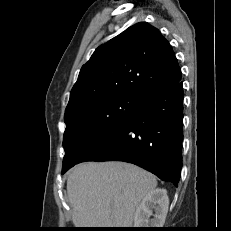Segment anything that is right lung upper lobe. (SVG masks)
Listing matches in <instances>:
<instances>
[{
    "instance_id": "obj_1",
    "label": "right lung upper lobe",
    "mask_w": 231,
    "mask_h": 231,
    "mask_svg": "<svg viewBox=\"0 0 231 231\" xmlns=\"http://www.w3.org/2000/svg\"><path fill=\"white\" fill-rule=\"evenodd\" d=\"M182 77L169 42L158 29L137 23L99 46L80 70L65 114L120 96L173 86Z\"/></svg>"
}]
</instances>
